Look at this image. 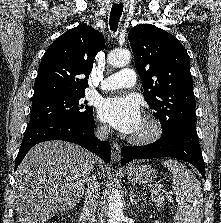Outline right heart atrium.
I'll return each instance as SVG.
<instances>
[{
    "mask_svg": "<svg viewBox=\"0 0 221 223\" xmlns=\"http://www.w3.org/2000/svg\"><path fill=\"white\" fill-rule=\"evenodd\" d=\"M99 131L100 132H106L107 131V128L105 126H99Z\"/></svg>",
    "mask_w": 221,
    "mask_h": 223,
    "instance_id": "d8ad5b80",
    "label": "right heart atrium"
}]
</instances>
